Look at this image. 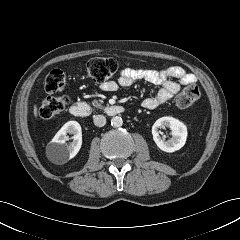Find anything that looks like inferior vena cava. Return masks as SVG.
Wrapping results in <instances>:
<instances>
[{
    "label": "inferior vena cava",
    "instance_id": "obj_1",
    "mask_svg": "<svg viewBox=\"0 0 240 240\" xmlns=\"http://www.w3.org/2000/svg\"><path fill=\"white\" fill-rule=\"evenodd\" d=\"M93 121L97 127H103L106 124V118L104 115L94 116Z\"/></svg>",
    "mask_w": 240,
    "mask_h": 240
}]
</instances>
